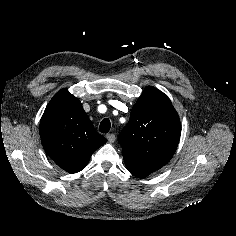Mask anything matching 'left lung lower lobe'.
Segmentation results:
<instances>
[{"mask_svg":"<svg viewBox=\"0 0 236 236\" xmlns=\"http://www.w3.org/2000/svg\"><path fill=\"white\" fill-rule=\"evenodd\" d=\"M123 158L129 172L139 178L146 177L161 168L158 165L142 162L129 156L123 155Z\"/></svg>","mask_w":236,"mask_h":236,"instance_id":"0a47b994","label":"left lung lower lobe"}]
</instances>
